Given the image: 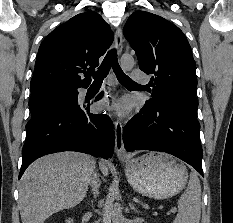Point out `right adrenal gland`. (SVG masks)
Listing matches in <instances>:
<instances>
[{"instance_id": "1", "label": "right adrenal gland", "mask_w": 233, "mask_h": 223, "mask_svg": "<svg viewBox=\"0 0 233 223\" xmlns=\"http://www.w3.org/2000/svg\"><path fill=\"white\" fill-rule=\"evenodd\" d=\"M87 205H88V207H90V201H87Z\"/></svg>"}]
</instances>
